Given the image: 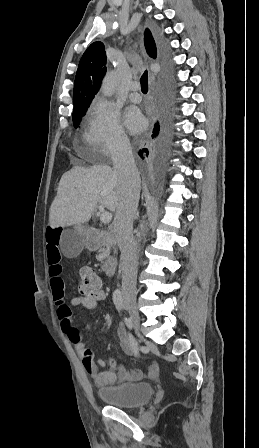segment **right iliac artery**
Here are the masks:
<instances>
[{"mask_svg":"<svg viewBox=\"0 0 259 448\" xmlns=\"http://www.w3.org/2000/svg\"><path fill=\"white\" fill-rule=\"evenodd\" d=\"M113 302L118 310L123 309V299H122V295H121V292L119 289H116L113 293ZM124 320H125L126 325L130 324V319L125 318ZM129 340L133 346L134 354L137 357L139 355L138 344L131 334H129Z\"/></svg>","mask_w":259,"mask_h":448,"instance_id":"82829eb1","label":"right iliac artery"}]
</instances>
